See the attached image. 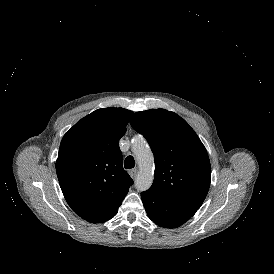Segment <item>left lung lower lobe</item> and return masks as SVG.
Masks as SVG:
<instances>
[{
	"label": "left lung lower lobe",
	"mask_w": 274,
	"mask_h": 274,
	"mask_svg": "<svg viewBox=\"0 0 274 274\" xmlns=\"http://www.w3.org/2000/svg\"><path fill=\"white\" fill-rule=\"evenodd\" d=\"M141 198L149 218L161 227H178L197 211L171 203L149 190L142 192Z\"/></svg>",
	"instance_id": "left-lung-lower-lobe-1"
}]
</instances>
